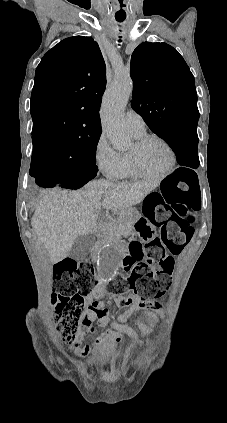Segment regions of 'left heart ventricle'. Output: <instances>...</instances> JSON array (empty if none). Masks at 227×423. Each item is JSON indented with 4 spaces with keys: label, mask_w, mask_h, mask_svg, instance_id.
Listing matches in <instances>:
<instances>
[{
    "label": "left heart ventricle",
    "mask_w": 227,
    "mask_h": 423,
    "mask_svg": "<svg viewBox=\"0 0 227 423\" xmlns=\"http://www.w3.org/2000/svg\"><path fill=\"white\" fill-rule=\"evenodd\" d=\"M169 160L166 148L156 141L148 144L140 153V163L143 169L151 174L162 173L167 168Z\"/></svg>",
    "instance_id": "left-heart-ventricle-1"
}]
</instances>
